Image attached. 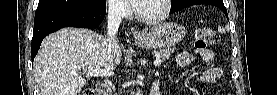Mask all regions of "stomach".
<instances>
[{"mask_svg":"<svg viewBox=\"0 0 277 95\" xmlns=\"http://www.w3.org/2000/svg\"><path fill=\"white\" fill-rule=\"evenodd\" d=\"M184 27L176 23H164L142 32L136 43L146 49L172 47L183 40Z\"/></svg>","mask_w":277,"mask_h":95,"instance_id":"stomach-1","label":"stomach"}]
</instances>
